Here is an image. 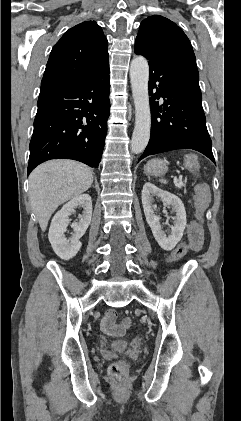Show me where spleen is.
<instances>
[{
    "instance_id": "obj_1",
    "label": "spleen",
    "mask_w": 241,
    "mask_h": 421,
    "mask_svg": "<svg viewBox=\"0 0 241 421\" xmlns=\"http://www.w3.org/2000/svg\"><path fill=\"white\" fill-rule=\"evenodd\" d=\"M160 182H161V183H164V184H166V183H167V181H166V180H164V179H161V180H160Z\"/></svg>"
}]
</instances>
